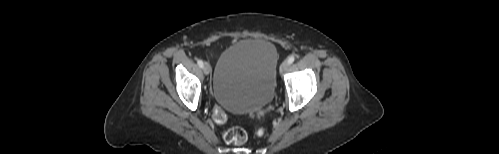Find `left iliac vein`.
Returning a JSON list of instances; mask_svg holds the SVG:
<instances>
[{"label": "left iliac vein", "instance_id": "left-iliac-vein-1", "mask_svg": "<svg viewBox=\"0 0 499 154\" xmlns=\"http://www.w3.org/2000/svg\"><path fill=\"white\" fill-rule=\"evenodd\" d=\"M288 67H289L288 61L282 62L279 68L280 73L281 74L284 73L288 69Z\"/></svg>", "mask_w": 499, "mask_h": 154}]
</instances>
